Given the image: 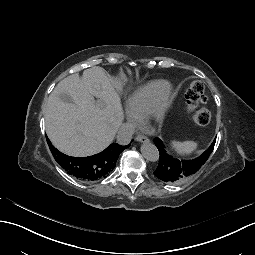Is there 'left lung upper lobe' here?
Returning a JSON list of instances; mask_svg holds the SVG:
<instances>
[{
	"label": "left lung upper lobe",
	"instance_id": "left-lung-upper-lobe-1",
	"mask_svg": "<svg viewBox=\"0 0 255 255\" xmlns=\"http://www.w3.org/2000/svg\"><path fill=\"white\" fill-rule=\"evenodd\" d=\"M213 142H215V140H214ZM154 144H155V143H154ZM155 145H156V144H155ZM201 156H202V155H201ZM201 156H199V157H201ZM198 171H199V170H198ZM198 171H197V172H198ZM197 172H196V173H197ZM193 175H194V174H193ZM190 177H191V176H190ZM188 178H189V177H188ZM158 179H159V178H158ZM160 180H161V179H160ZM161 181H162V180H161ZM164 182H165V181H164Z\"/></svg>",
	"mask_w": 255,
	"mask_h": 255
}]
</instances>
